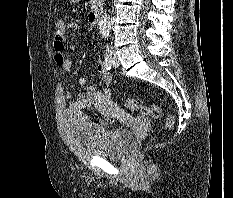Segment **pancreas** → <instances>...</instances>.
Returning a JSON list of instances; mask_svg holds the SVG:
<instances>
[{
	"label": "pancreas",
	"mask_w": 233,
	"mask_h": 198,
	"mask_svg": "<svg viewBox=\"0 0 233 198\" xmlns=\"http://www.w3.org/2000/svg\"><path fill=\"white\" fill-rule=\"evenodd\" d=\"M102 2L103 0H90L91 8H97L99 5H101Z\"/></svg>",
	"instance_id": "cf45deb5"
}]
</instances>
